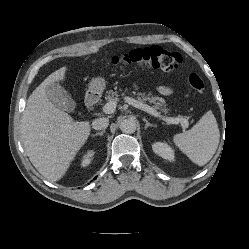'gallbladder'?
I'll return each instance as SVG.
<instances>
[{
  "label": "gallbladder",
  "mask_w": 249,
  "mask_h": 249,
  "mask_svg": "<svg viewBox=\"0 0 249 249\" xmlns=\"http://www.w3.org/2000/svg\"><path fill=\"white\" fill-rule=\"evenodd\" d=\"M49 100L59 109L72 112L75 109V102L68 92L58 83H51L46 90Z\"/></svg>",
  "instance_id": "obj_1"
}]
</instances>
